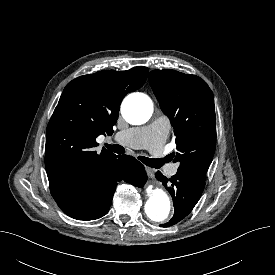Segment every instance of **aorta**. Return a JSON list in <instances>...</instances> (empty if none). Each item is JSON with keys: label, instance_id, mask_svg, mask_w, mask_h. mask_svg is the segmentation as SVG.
I'll return each mask as SVG.
<instances>
[{"label": "aorta", "instance_id": "1", "mask_svg": "<svg viewBox=\"0 0 275 275\" xmlns=\"http://www.w3.org/2000/svg\"><path fill=\"white\" fill-rule=\"evenodd\" d=\"M154 104L145 94L136 93L128 96L122 103L121 113L132 125H141L153 114ZM147 201L145 213L154 222L166 221L172 211L170 197L160 187L149 185L146 189Z\"/></svg>", "mask_w": 275, "mask_h": 275}]
</instances>
